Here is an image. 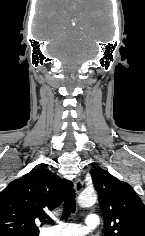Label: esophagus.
Listing matches in <instances>:
<instances>
[{"label": "esophagus", "mask_w": 145, "mask_h": 236, "mask_svg": "<svg viewBox=\"0 0 145 236\" xmlns=\"http://www.w3.org/2000/svg\"><path fill=\"white\" fill-rule=\"evenodd\" d=\"M82 187H83V182L81 181V179L77 178L75 181H74V188H75V191L77 193H79L81 190H82Z\"/></svg>", "instance_id": "1"}]
</instances>
